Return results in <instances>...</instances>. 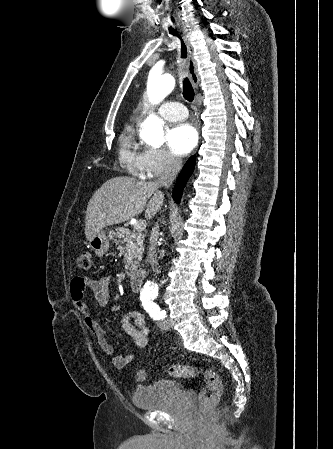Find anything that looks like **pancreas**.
I'll list each match as a JSON object with an SVG mask.
<instances>
[{
    "instance_id": "1",
    "label": "pancreas",
    "mask_w": 333,
    "mask_h": 449,
    "mask_svg": "<svg viewBox=\"0 0 333 449\" xmlns=\"http://www.w3.org/2000/svg\"><path fill=\"white\" fill-rule=\"evenodd\" d=\"M109 237L115 240L118 245L117 249L124 254L125 268L136 270L143 256V235L140 232H131L126 228H118L116 232H109ZM132 271L127 274L131 275Z\"/></svg>"
}]
</instances>
